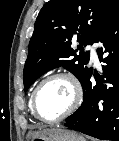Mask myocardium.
Instances as JSON below:
<instances>
[{
  "label": "myocardium",
  "instance_id": "obj_1",
  "mask_svg": "<svg viewBox=\"0 0 119 141\" xmlns=\"http://www.w3.org/2000/svg\"><path fill=\"white\" fill-rule=\"evenodd\" d=\"M54 79H65L68 81V83L71 86L72 89V93H73V98H72V102L70 104V106L68 107V109L63 112L61 115H59L56 118L53 119H44L42 118L38 111H37V106H36V101H37V96L38 93L40 91V89L48 82L54 80ZM82 88L81 85L78 81V79L69 72H57L54 74H51L49 76H47L46 78H44L33 90L32 96H31V110L33 115L40 121L44 122V123H55V122H59L67 117H69L70 115H72L80 106L81 101H82Z\"/></svg>",
  "mask_w": 119,
  "mask_h": 141
}]
</instances>
